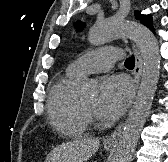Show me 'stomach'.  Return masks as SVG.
<instances>
[{
  "label": "stomach",
  "mask_w": 168,
  "mask_h": 162,
  "mask_svg": "<svg viewBox=\"0 0 168 162\" xmlns=\"http://www.w3.org/2000/svg\"><path fill=\"white\" fill-rule=\"evenodd\" d=\"M113 148V146H105L106 150H111Z\"/></svg>",
  "instance_id": "stomach-1"
}]
</instances>
